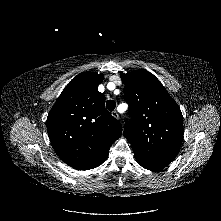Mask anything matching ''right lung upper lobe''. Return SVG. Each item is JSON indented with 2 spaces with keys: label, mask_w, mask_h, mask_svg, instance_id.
I'll return each mask as SVG.
<instances>
[{
  "label": "right lung upper lobe",
  "mask_w": 221,
  "mask_h": 221,
  "mask_svg": "<svg viewBox=\"0 0 221 221\" xmlns=\"http://www.w3.org/2000/svg\"><path fill=\"white\" fill-rule=\"evenodd\" d=\"M102 74H78L63 90L47 118L51 144L58 156L77 170H89L106 159L122 133L120 122L105 107L98 91Z\"/></svg>",
  "instance_id": "cb5924a9"
}]
</instances>
